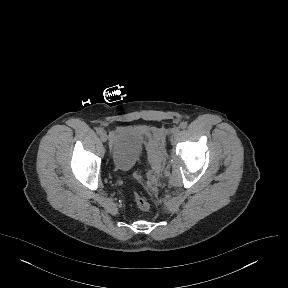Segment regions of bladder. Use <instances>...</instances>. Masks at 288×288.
Returning <instances> with one entry per match:
<instances>
[{
  "label": "bladder",
  "mask_w": 288,
  "mask_h": 288,
  "mask_svg": "<svg viewBox=\"0 0 288 288\" xmlns=\"http://www.w3.org/2000/svg\"><path fill=\"white\" fill-rule=\"evenodd\" d=\"M146 131L136 126H121L109 136V152L113 166L119 171L131 170L146 146Z\"/></svg>",
  "instance_id": "31cf9c89"
}]
</instances>
